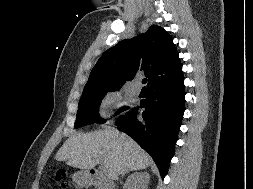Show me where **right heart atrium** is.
Returning <instances> with one entry per match:
<instances>
[{"label":"right heart atrium","instance_id":"1","mask_svg":"<svg viewBox=\"0 0 253 189\" xmlns=\"http://www.w3.org/2000/svg\"><path fill=\"white\" fill-rule=\"evenodd\" d=\"M121 105V97L117 93H109L101 101L100 114L102 117H109L113 111L120 108Z\"/></svg>","mask_w":253,"mask_h":189}]
</instances>
